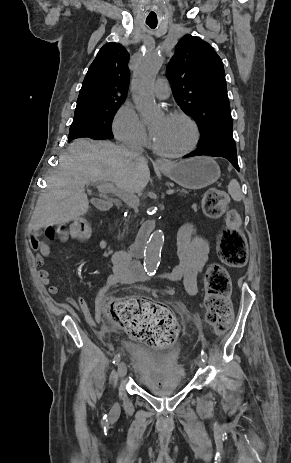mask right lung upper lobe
Listing matches in <instances>:
<instances>
[{
    "label": "right lung upper lobe",
    "instance_id": "cb5924a9",
    "mask_svg": "<svg viewBox=\"0 0 291 463\" xmlns=\"http://www.w3.org/2000/svg\"><path fill=\"white\" fill-rule=\"evenodd\" d=\"M129 53L118 43L105 44L84 78L74 116L96 110L110 101H124L130 73Z\"/></svg>",
    "mask_w": 291,
    "mask_h": 463
}]
</instances>
